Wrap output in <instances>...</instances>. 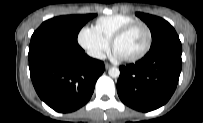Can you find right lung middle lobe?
<instances>
[{
	"instance_id": "obj_1",
	"label": "right lung middle lobe",
	"mask_w": 203,
	"mask_h": 123,
	"mask_svg": "<svg viewBox=\"0 0 203 123\" xmlns=\"http://www.w3.org/2000/svg\"><path fill=\"white\" fill-rule=\"evenodd\" d=\"M93 17H95V14L54 17L43 22L41 26L34 31L31 40L50 38L57 41L77 44V36L80 29Z\"/></svg>"
}]
</instances>
